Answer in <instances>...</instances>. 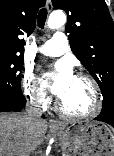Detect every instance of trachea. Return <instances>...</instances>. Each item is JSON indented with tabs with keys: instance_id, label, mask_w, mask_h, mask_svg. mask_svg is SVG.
I'll use <instances>...</instances> for the list:
<instances>
[{
	"instance_id": "trachea-1",
	"label": "trachea",
	"mask_w": 114,
	"mask_h": 156,
	"mask_svg": "<svg viewBox=\"0 0 114 156\" xmlns=\"http://www.w3.org/2000/svg\"><path fill=\"white\" fill-rule=\"evenodd\" d=\"M46 18H47V10L45 8H42L39 13H38V16H37V23H38V26L40 28H44V25H45V22H46Z\"/></svg>"
}]
</instances>
